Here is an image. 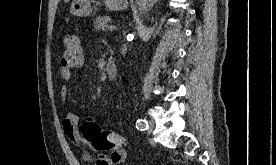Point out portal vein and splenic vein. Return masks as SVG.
<instances>
[{"label": "portal vein and splenic vein", "instance_id": "portal-vein-and-splenic-vein-1", "mask_svg": "<svg viewBox=\"0 0 276 165\" xmlns=\"http://www.w3.org/2000/svg\"><path fill=\"white\" fill-rule=\"evenodd\" d=\"M107 29H108L109 31H113V30L116 29V27H115L114 25H109V26L107 27Z\"/></svg>", "mask_w": 276, "mask_h": 165}]
</instances>
